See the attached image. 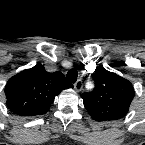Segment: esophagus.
<instances>
[{"label": "esophagus", "mask_w": 145, "mask_h": 145, "mask_svg": "<svg viewBox=\"0 0 145 145\" xmlns=\"http://www.w3.org/2000/svg\"><path fill=\"white\" fill-rule=\"evenodd\" d=\"M74 88L78 92L81 91V89H82V81L80 79L76 81V83L74 84Z\"/></svg>", "instance_id": "34e87169"}]
</instances>
